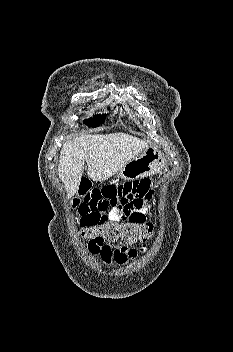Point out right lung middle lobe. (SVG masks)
<instances>
[{"label": "right lung middle lobe", "mask_w": 233, "mask_h": 352, "mask_svg": "<svg viewBox=\"0 0 233 352\" xmlns=\"http://www.w3.org/2000/svg\"><path fill=\"white\" fill-rule=\"evenodd\" d=\"M105 114L94 116L93 118L84 120V123L88 124L89 126L98 127L104 120Z\"/></svg>", "instance_id": "1"}]
</instances>
